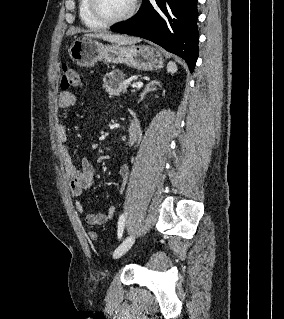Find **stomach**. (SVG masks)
Returning a JSON list of instances; mask_svg holds the SVG:
<instances>
[{
    "label": "stomach",
    "instance_id": "1",
    "mask_svg": "<svg viewBox=\"0 0 284 319\" xmlns=\"http://www.w3.org/2000/svg\"><path fill=\"white\" fill-rule=\"evenodd\" d=\"M70 58L81 67H91L98 61L124 63L140 71H153L163 66L160 51L148 45L103 44L92 37L76 39L69 48Z\"/></svg>",
    "mask_w": 284,
    "mask_h": 319
}]
</instances>
